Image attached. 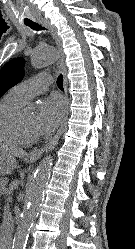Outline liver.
I'll list each match as a JSON object with an SVG mask.
<instances>
[{
  "label": "liver",
  "mask_w": 135,
  "mask_h": 249,
  "mask_svg": "<svg viewBox=\"0 0 135 249\" xmlns=\"http://www.w3.org/2000/svg\"><path fill=\"white\" fill-rule=\"evenodd\" d=\"M0 150H3L7 154L14 157L24 158L27 156V153L24 150L12 146L1 145Z\"/></svg>",
  "instance_id": "6515ba94"
}]
</instances>
